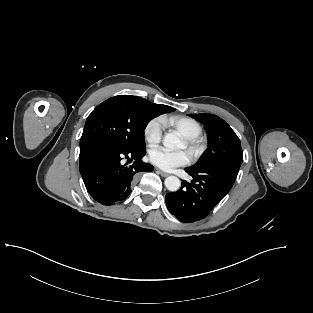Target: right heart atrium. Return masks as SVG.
<instances>
[{
    "label": "right heart atrium",
    "mask_w": 313,
    "mask_h": 313,
    "mask_svg": "<svg viewBox=\"0 0 313 313\" xmlns=\"http://www.w3.org/2000/svg\"><path fill=\"white\" fill-rule=\"evenodd\" d=\"M164 121L162 118L151 119L144 128V138L150 145H156L161 141Z\"/></svg>",
    "instance_id": "1"
}]
</instances>
